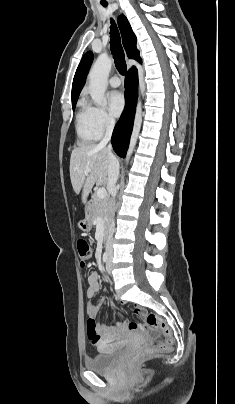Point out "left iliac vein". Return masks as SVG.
<instances>
[{
	"mask_svg": "<svg viewBox=\"0 0 235 404\" xmlns=\"http://www.w3.org/2000/svg\"><path fill=\"white\" fill-rule=\"evenodd\" d=\"M111 260H112V258H111V255H110L109 258H108L107 264H106V270H107L108 273H110L111 269H112V261Z\"/></svg>",
	"mask_w": 235,
	"mask_h": 404,
	"instance_id": "left-iliac-vein-1",
	"label": "left iliac vein"
}]
</instances>
